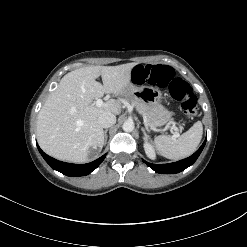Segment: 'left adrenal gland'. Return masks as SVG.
<instances>
[{
  "label": "left adrenal gland",
  "mask_w": 247,
  "mask_h": 247,
  "mask_svg": "<svg viewBox=\"0 0 247 247\" xmlns=\"http://www.w3.org/2000/svg\"><path fill=\"white\" fill-rule=\"evenodd\" d=\"M141 130H142V132H143V134H144V139L149 138V135L146 133L144 127H141Z\"/></svg>",
  "instance_id": "a2214340"
}]
</instances>
